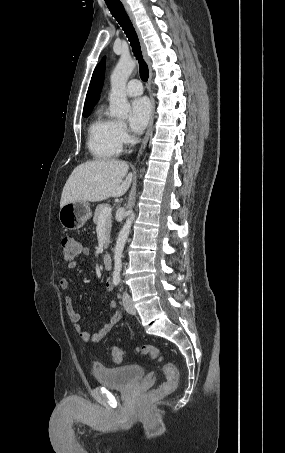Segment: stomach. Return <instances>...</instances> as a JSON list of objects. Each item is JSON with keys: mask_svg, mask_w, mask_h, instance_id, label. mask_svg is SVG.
Masks as SVG:
<instances>
[{"mask_svg": "<svg viewBox=\"0 0 285 453\" xmlns=\"http://www.w3.org/2000/svg\"><path fill=\"white\" fill-rule=\"evenodd\" d=\"M92 216L90 204L86 201H75L60 208L59 222L66 230H77Z\"/></svg>", "mask_w": 285, "mask_h": 453, "instance_id": "obj_1", "label": "stomach"}]
</instances>
